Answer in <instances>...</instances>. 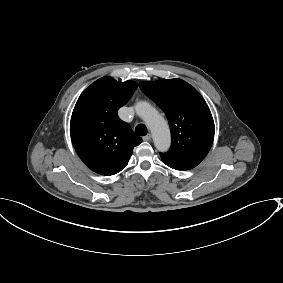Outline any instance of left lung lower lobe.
<instances>
[{
  "label": "left lung lower lobe",
  "mask_w": 283,
  "mask_h": 283,
  "mask_svg": "<svg viewBox=\"0 0 283 283\" xmlns=\"http://www.w3.org/2000/svg\"><path fill=\"white\" fill-rule=\"evenodd\" d=\"M169 167L173 168V169H176V170H183V169H179V168H176V167H172L170 165H168Z\"/></svg>",
  "instance_id": "obj_1"
}]
</instances>
